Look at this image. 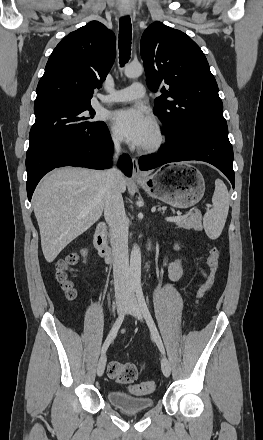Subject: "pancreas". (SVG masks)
Here are the masks:
<instances>
[{"instance_id":"1","label":"pancreas","mask_w":263,"mask_h":440,"mask_svg":"<svg viewBox=\"0 0 263 440\" xmlns=\"http://www.w3.org/2000/svg\"><path fill=\"white\" fill-rule=\"evenodd\" d=\"M179 227H182L184 229H194L197 231L202 230V215L201 212L196 210L194 212H191L186 215V217L177 223Z\"/></svg>"}]
</instances>
